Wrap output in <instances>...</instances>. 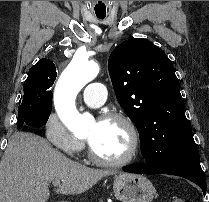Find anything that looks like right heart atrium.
<instances>
[{"instance_id":"obj_1","label":"right heart atrium","mask_w":209,"mask_h":202,"mask_svg":"<svg viewBox=\"0 0 209 202\" xmlns=\"http://www.w3.org/2000/svg\"><path fill=\"white\" fill-rule=\"evenodd\" d=\"M47 139L68 156H76L84 147V140L75 136L56 116L47 121Z\"/></svg>"}]
</instances>
